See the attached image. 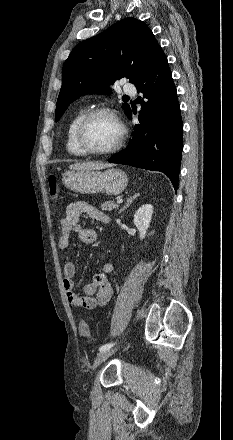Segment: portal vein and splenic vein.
I'll return each mask as SVG.
<instances>
[{
  "instance_id": "obj_1",
  "label": "portal vein and splenic vein",
  "mask_w": 233,
  "mask_h": 440,
  "mask_svg": "<svg viewBox=\"0 0 233 440\" xmlns=\"http://www.w3.org/2000/svg\"><path fill=\"white\" fill-rule=\"evenodd\" d=\"M123 202V200H118L117 204H121Z\"/></svg>"
}]
</instances>
